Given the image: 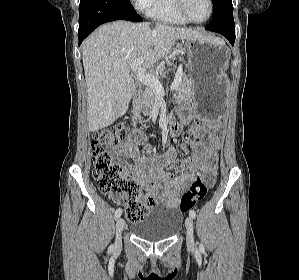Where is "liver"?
Here are the masks:
<instances>
[{"mask_svg": "<svg viewBox=\"0 0 299 280\" xmlns=\"http://www.w3.org/2000/svg\"><path fill=\"white\" fill-rule=\"evenodd\" d=\"M205 37L195 29L122 20L94 31L82 45L89 131L108 127L126 113L136 89L130 73L134 61L142 58L143 68H150L171 53L175 41Z\"/></svg>", "mask_w": 299, "mask_h": 280, "instance_id": "liver-1", "label": "liver"}]
</instances>
